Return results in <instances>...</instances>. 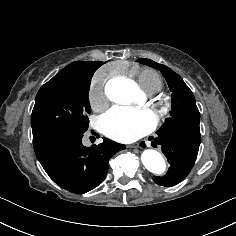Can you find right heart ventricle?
<instances>
[{
    "label": "right heart ventricle",
    "instance_id": "e07e8e85",
    "mask_svg": "<svg viewBox=\"0 0 236 236\" xmlns=\"http://www.w3.org/2000/svg\"><path fill=\"white\" fill-rule=\"evenodd\" d=\"M126 80L139 86L147 94H155L161 90L163 83L160 76L151 69H135L128 71L126 66L120 69ZM156 126H153V128ZM152 128V129H153Z\"/></svg>",
    "mask_w": 236,
    "mask_h": 236
}]
</instances>
